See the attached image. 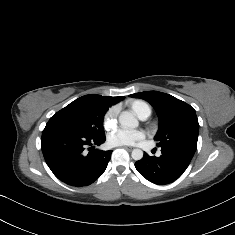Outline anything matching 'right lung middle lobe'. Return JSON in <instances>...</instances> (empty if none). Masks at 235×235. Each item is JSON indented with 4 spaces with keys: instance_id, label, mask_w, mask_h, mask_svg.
Segmentation results:
<instances>
[{
    "instance_id": "obj_1",
    "label": "right lung middle lobe",
    "mask_w": 235,
    "mask_h": 235,
    "mask_svg": "<svg viewBox=\"0 0 235 235\" xmlns=\"http://www.w3.org/2000/svg\"><path fill=\"white\" fill-rule=\"evenodd\" d=\"M106 112L94 110L83 103L73 101L54 114L49 122L61 123L93 137H105L103 117Z\"/></svg>"
}]
</instances>
